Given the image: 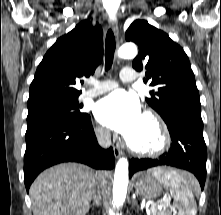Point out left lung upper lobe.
<instances>
[{"label":"left lung upper lobe","mask_w":221,"mask_h":215,"mask_svg":"<svg viewBox=\"0 0 221 215\" xmlns=\"http://www.w3.org/2000/svg\"><path fill=\"white\" fill-rule=\"evenodd\" d=\"M125 38L139 47L132 66L137 71L146 70L144 82L156 88L146 101L163 119L173 107L201 112L194 73L186 53L177 43L165 32L139 19L129 26Z\"/></svg>","instance_id":"1"}]
</instances>
